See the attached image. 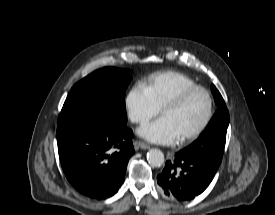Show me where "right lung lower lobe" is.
Listing matches in <instances>:
<instances>
[{
  "label": "right lung lower lobe",
  "mask_w": 275,
  "mask_h": 215,
  "mask_svg": "<svg viewBox=\"0 0 275 215\" xmlns=\"http://www.w3.org/2000/svg\"><path fill=\"white\" fill-rule=\"evenodd\" d=\"M131 138L126 124L112 122L57 129L59 158L68 181L90 198L113 196L134 154Z\"/></svg>",
  "instance_id": "1"
}]
</instances>
